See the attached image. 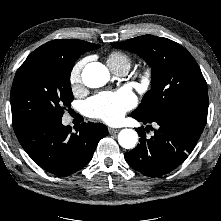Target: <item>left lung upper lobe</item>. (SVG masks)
<instances>
[{
    "label": "left lung upper lobe",
    "instance_id": "5c2ea615",
    "mask_svg": "<svg viewBox=\"0 0 221 221\" xmlns=\"http://www.w3.org/2000/svg\"><path fill=\"white\" fill-rule=\"evenodd\" d=\"M142 57L151 67V90L132 114L152 118L183 109L208 112L207 84L192 55L167 38L143 35L113 43Z\"/></svg>",
    "mask_w": 221,
    "mask_h": 221
}]
</instances>
